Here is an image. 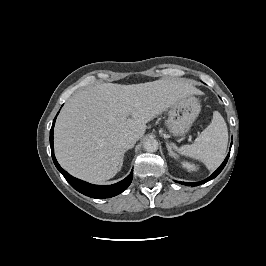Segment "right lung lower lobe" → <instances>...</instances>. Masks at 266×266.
I'll return each mask as SVG.
<instances>
[{"mask_svg": "<svg viewBox=\"0 0 266 266\" xmlns=\"http://www.w3.org/2000/svg\"><path fill=\"white\" fill-rule=\"evenodd\" d=\"M55 120L53 121L51 130H50V145H51V154L53 162L56 166V168L60 171V173L64 176V178L67 180V182L78 192L92 197V198H110L113 196H116L120 193H122L124 190L127 189V187L130 185L132 181V172L122 181L112 184V185H93L90 183H87L85 181L79 180L73 176H71L69 173H67L64 169L60 167L58 164L55 155H54V146H53V129Z\"/></svg>", "mask_w": 266, "mask_h": 266, "instance_id": "1", "label": "right lung lower lobe"}]
</instances>
